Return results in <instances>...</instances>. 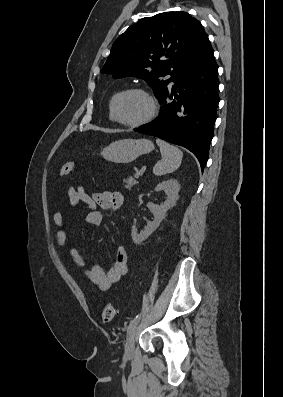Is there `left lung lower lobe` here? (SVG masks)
<instances>
[{"label":"left lung lower lobe","mask_w":283,"mask_h":397,"mask_svg":"<svg viewBox=\"0 0 283 397\" xmlns=\"http://www.w3.org/2000/svg\"><path fill=\"white\" fill-rule=\"evenodd\" d=\"M213 53L210 46L187 64L174 79L175 86L160 99L158 118L135 129L187 148L202 170L208 160L219 104L218 65Z\"/></svg>","instance_id":"0a47b994"}]
</instances>
